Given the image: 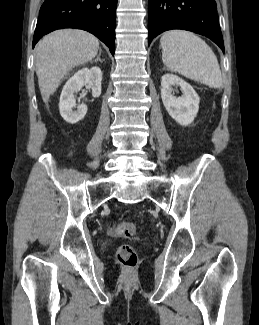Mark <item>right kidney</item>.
I'll return each instance as SVG.
<instances>
[{
    "instance_id": "right-kidney-1",
    "label": "right kidney",
    "mask_w": 259,
    "mask_h": 325,
    "mask_svg": "<svg viewBox=\"0 0 259 325\" xmlns=\"http://www.w3.org/2000/svg\"><path fill=\"white\" fill-rule=\"evenodd\" d=\"M102 72L99 67L83 68L76 72L64 85L59 102L61 116L69 123H77L82 120L87 113V105L82 104L76 107L74 94L84 85H89L92 89V96L99 97L101 94Z\"/></svg>"
}]
</instances>
